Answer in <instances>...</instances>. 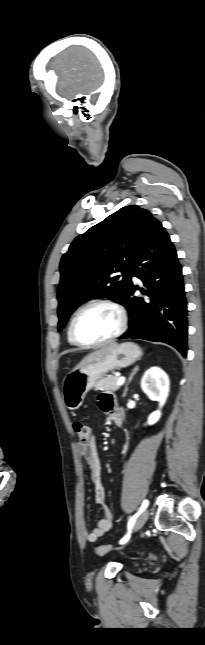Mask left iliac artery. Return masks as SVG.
<instances>
[{
  "mask_svg": "<svg viewBox=\"0 0 205 645\" xmlns=\"http://www.w3.org/2000/svg\"><path fill=\"white\" fill-rule=\"evenodd\" d=\"M148 504H149L148 500H144L142 505H141V507H140V509H139V511L133 517L130 518V520L128 521V532L120 540V542H119L120 544H125L129 540L130 534H131V529H132L137 517L148 507Z\"/></svg>",
  "mask_w": 205,
  "mask_h": 645,
  "instance_id": "obj_1",
  "label": "left iliac artery"
}]
</instances>
